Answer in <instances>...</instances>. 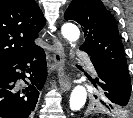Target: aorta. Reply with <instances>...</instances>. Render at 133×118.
<instances>
[{"instance_id": "obj_1", "label": "aorta", "mask_w": 133, "mask_h": 118, "mask_svg": "<svg viewBox=\"0 0 133 118\" xmlns=\"http://www.w3.org/2000/svg\"><path fill=\"white\" fill-rule=\"evenodd\" d=\"M62 35L68 41L75 42L80 37V31L78 27L72 23H67L62 26L61 29ZM87 99L86 88L78 85L76 86L70 96L69 105L72 111H79L83 108Z\"/></svg>"}]
</instances>
